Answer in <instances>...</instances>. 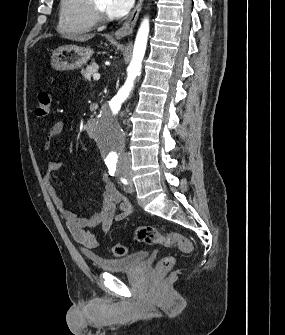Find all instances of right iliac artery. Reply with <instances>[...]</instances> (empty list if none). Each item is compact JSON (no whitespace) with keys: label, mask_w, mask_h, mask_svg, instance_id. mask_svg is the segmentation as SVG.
<instances>
[{"label":"right iliac artery","mask_w":285,"mask_h":335,"mask_svg":"<svg viewBox=\"0 0 285 335\" xmlns=\"http://www.w3.org/2000/svg\"><path fill=\"white\" fill-rule=\"evenodd\" d=\"M106 165L109 169V174L111 176H114L115 171H116V164L114 162H107Z\"/></svg>","instance_id":"82829eb1"}]
</instances>
